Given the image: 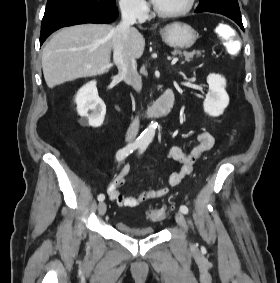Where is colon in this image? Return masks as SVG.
Wrapping results in <instances>:
<instances>
[{"mask_svg": "<svg viewBox=\"0 0 280 283\" xmlns=\"http://www.w3.org/2000/svg\"><path fill=\"white\" fill-rule=\"evenodd\" d=\"M236 26L235 25H217L215 27V32L217 33V42H225V47H227L228 55H241L242 46L240 43L242 41L241 37L236 36ZM166 208L162 207L150 211L148 217L151 221H161L166 217Z\"/></svg>", "mask_w": 280, "mask_h": 283, "instance_id": "5ec220e1", "label": "colon"}]
</instances>
